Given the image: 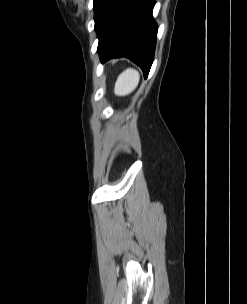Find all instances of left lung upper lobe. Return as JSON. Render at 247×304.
I'll return each mask as SVG.
<instances>
[{"mask_svg": "<svg viewBox=\"0 0 247 304\" xmlns=\"http://www.w3.org/2000/svg\"><path fill=\"white\" fill-rule=\"evenodd\" d=\"M101 0H94L93 2V8H94V12L97 10L99 4H100Z\"/></svg>", "mask_w": 247, "mask_h": 304, "instance_id": "1", "label": "left lung upper lobe"}]
</instances>
